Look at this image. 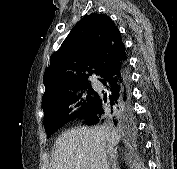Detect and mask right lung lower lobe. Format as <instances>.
<instances>
[{
  "label": "right lung lower lobe",
  "mask_w": 177,
  "mask_h": 169,
  "mask_svg": "<svg viewBox=\"0 0 177 169\" xmlns=\"http://www.w3.org/2000/svg\"><path fill=\"white\" fill-rule=\"evenodd\" d=\"M99 76L107 87V93L96 92L93 104L80 118L84 124L111 123L118 126L128 122L133 115L131 103V79L127 68V58L106 67Z\"/></svg>",
  "instance_id": "right-lung-lower-lobe-1"
}]
</instances>
